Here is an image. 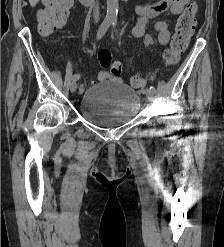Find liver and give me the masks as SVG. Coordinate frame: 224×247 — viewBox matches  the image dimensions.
I'll return each instance as SVG.
<instances>
[{"label": "liver", "instance_id": "obj_1", "mask_svg": "<svg viewBox=\"0 0 224 247\" xmlns=\"http://www.w3.org/2000/svg\"><path fill=\"white\" fill-rule=\"evenodd\" d=\"M37 2H39V0H29V4H30L31 8H34V6H36Z\"/></svg>", "mask_w": 224, "mask_h": 247}]
</instances>
